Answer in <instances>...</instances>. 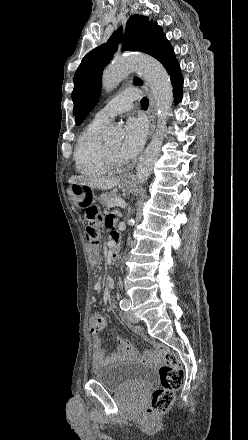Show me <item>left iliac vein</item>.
I'll list each match as a JSON object with an SVG mask.
<instances>
[{"label":"left iliac vein","mask_w":248,"mask_h":440,"mask_svg":"<svg viewBox=\"0 0 248 440\" xmlns=\"http://www.w3.org/2000/svg\"><path fill=\"white\" fill-rule=\"evenodd\" d=\"M125 319L132 323H137L139 321L138 317L132 311L126 312Z\"/></svg>","instance_id":"1"}]
</instances>
